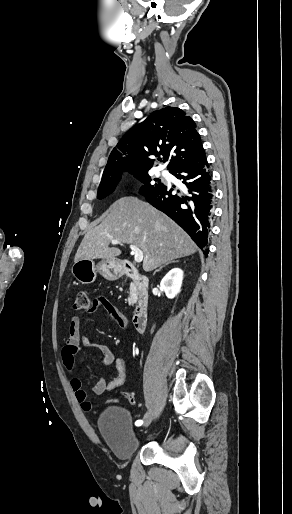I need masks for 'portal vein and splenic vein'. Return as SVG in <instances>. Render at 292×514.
Wrapping results in <instances>:
<instances>
[{
    "mask_svg": "<svg viewBox=\"0 0 292 514\" xmlns=\"http://www.w3.org/2000/svg\"><path fill=\"white\" fill-rule=\"evenodd\" d=\"M111 244H121L118 240H112ZM130 250H132L131 254H134L135 262H142L144 256L142 250H139L137 246H130Z\"/></svg>",
    "mask_w": 292,
    "mask_h": 514,
    "instance_id": "18ae733b",
    "label": "portal vein and splenic vein"
}]
</instances>
